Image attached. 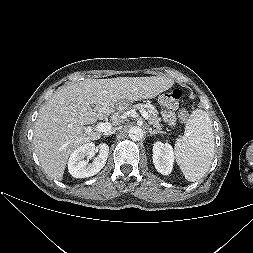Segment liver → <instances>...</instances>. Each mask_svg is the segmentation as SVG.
<instances>
[{
    "label": "liver",
    "mask_w": 253,
    "mask_h": 253,
    "mask_svg": "<svg viewBox=\"0 0 253 253\" xmlns=\"http://www.w3.org/2000/svg\"><path fill=\"white\" fill-rule=\"evenodd\" d=\"M173 85L170 78L150 76L86 79L58 88L34 126L33 145L44 172L61 181L71 153L102 135L85 125L110 116L121 101L152 99Z\"/></svg>",
    "instance_id": "1"
}]
</instances>
